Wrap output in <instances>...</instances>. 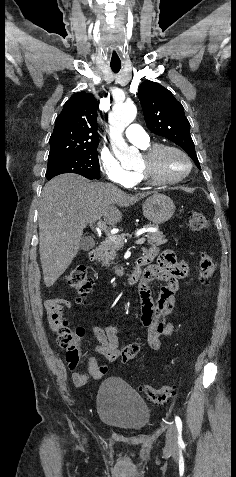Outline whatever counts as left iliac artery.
Listing matches in <instances>:
<instances>
[{
  "instance_id": "44dca946",
  "label": "left iliac artery",
  "mask_w": 236,
  "mask_h": 477,
  "mask_svg": "<svg viewBox=\"0 0 236 477\" xmlns=\"http://www.w3.org/2000/svg\"><path fill=\"white\" fill-rule=\"evenodd\" d=\"M175 423H176L177 430H178V443L182 444L183 443V440H182V421H181L180 417H178V416L175 417Z\"/></svg>"
}]
</instances>
